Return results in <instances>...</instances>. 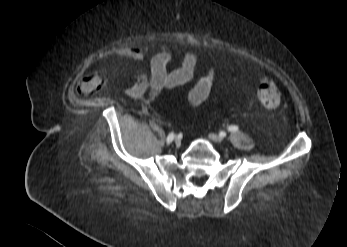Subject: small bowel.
Instances as JSON below:
<instances>
[{
	"label": "small bowel",
	"instance_id": "small-bowel-1",
	"mask_svg": "<svg viewBox=\"0 0 347 247\" xmlns=\"http://www.w3.org/2000/svg\"><path fill=\"white\" fill-rule=\"evenodd\" d=\"M118 54L120 57L134 62H141L144 59L143 51L132 46L120 50ZM172 56V49L165 48L158 51L150 61L149 74L137 71L134 82L125 88L124 93L132 99L147 98L150 100L164 90H173L189 82L193 78L198 61L197 50L189 49L184 54L181 64L169 71L167 66ZM103 77V75L84 77L78 85L80 93H89L98 89L103 84ZM214 80L215 69L211 66L187 93L186 104L195 108L205 102L211 93Z\"/></svg>",
	"mask_w": 347,
	"mask_h": 247
}]
</instances>
